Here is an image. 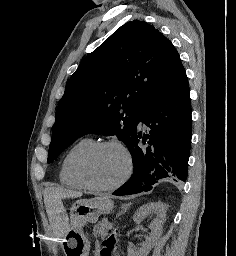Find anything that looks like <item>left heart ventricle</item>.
Returning <instances> with one entry per match:
<instances>
[{
    "mask_svg": "<svg viewBox=\"0 0 236 256\" xmlns=\"http://www.w3.org/2000/svg\"><path fill=\"white\" fill-rule=\"evenodd\" d=\"M126 169L123 153L115 147H107L92 157L88 165L91 182L98 187H109L116 184Z\"/></svg>",
    "mask_w": 236,
    "mask_h": 256,
    "instance_id": "1",
    "label": "left heart ventricle"
}]
</instances>
